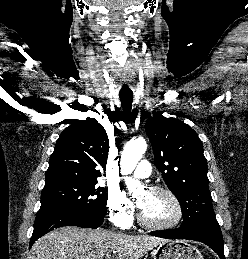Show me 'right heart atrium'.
<instances>
[{
    "label": "right heart atrium",
    "instance_id": "right-heart-atrium-1",
    "mask_svg": "<svg viewBox=\"0 0 248 259\" xmlns=\"http://www.w3.org/2000/svg\"><path fill=\"white\" fill-rule=\"evenodd\" d=\"M107 208L110 220L117 227L127 228L134 219L133 204L118 190H112L108 194Z\"/></svg>",
    "mask_w": 248,
    "mask_h": 259
}]
</instances>
